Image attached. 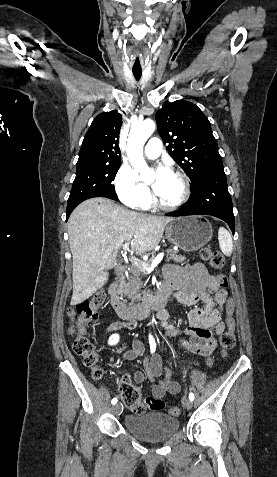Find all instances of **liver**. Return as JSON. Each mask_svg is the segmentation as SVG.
Here are the masks:
<instances>
[{"instance_id":"obj_1","label":"liver","mask_w":277,"mask_h":477,"mask_svg":"<svg viewBox=\"0 0 277 477\" xmlns=\"http://www.w3.org/2000/svg\"><path fill=\"white\" fill-rule=\"evenodd\" d=\"M173 219L130 211L101 197L76 207L67 227L73 257L71 305L88 299L107 283L108 270L125 241L132 240L136 255L146 254L159 244Z\"/></svg>"}]
</instances>
